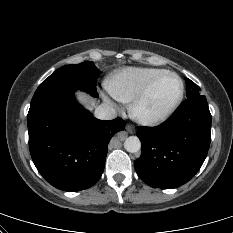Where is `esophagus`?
<instances>
[{
	"label": "esophagus",
	"instance_id": "obj_1",
	"mask_svg": "<svg viewBox=\"0 0 233 233\" xmlns=\"http://www.w3.org/2000/svg\"><path fill=\"white\" fill-rule=\"evenodd\" d=\"M126 130L130 133L133 134L135 132V128L132 125L127 124Z\"/></svg>",
	"mask_w": 233,
	"mask_h": 233
}]
</instances>
